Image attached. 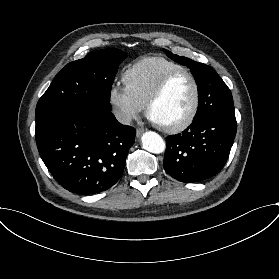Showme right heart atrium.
<instances>
[{
  "label": "right heart atrium",
  "instance_id": "obj_1",
  "mask_svg": "<svg viewBox=\"0 0 279 279\" xmlns=\"http://www.w3.org/2000/svg\"><path fill=\"white\" fill-rule=\"evenodd\" d=\"M108 100L116 109L118 120L124 124L136 119L146 109V101L127 84H113L108 92Z\"/></svg>",
  "mask_w": 279,
  "mask_h": 279
}]
</instances>
